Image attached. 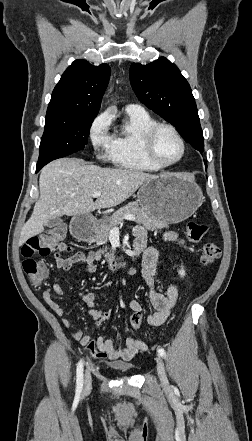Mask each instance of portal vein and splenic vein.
Returning <instances> with one entry per match:
<instances>
[{"instance_id": "obj_1", "label": "portal vein and splenic vein", "mask_w": 252, "mask_h": 441, "mask_svg": "<svg viewBox=\"0 0 252 441\" xmlns=\"http://www.w3.org/2000/svg\"><path fill=\"white\" fill-rule=\"evenodd\" d=\"M100 195H101V192H100V191H96V192H94V193L92 194L93 198H97V197H99ZM124 219L129 220V221H134V220H136V217L133 216V215H131V214H128V215H125V216H124Z\"/></svg>"}]
</instances>
